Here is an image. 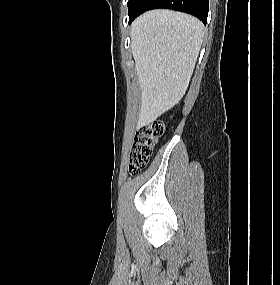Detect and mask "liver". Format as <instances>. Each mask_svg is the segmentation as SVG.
I'll return each instance as SVG.
<instances>
[{
	"mask_svg": "<svg viewBox=\"0 0 280 285\" xmlns=\"http://www.w3.org/2000/svg\"><path fill=\"white\" fill-rule=\"evenodd\" d=\"M130 34L141 89L140 128L156 120L185 94L204 27L191 15L157 9L138 17Z\"/></svg>",
	"mask_w": 280,
	"mask_h": 285,
	"instance_id": "6515ba94",
	"label": "liver"
}]
</instances>
